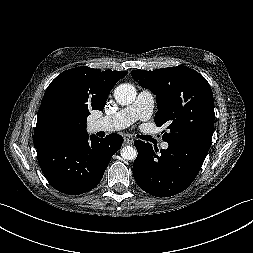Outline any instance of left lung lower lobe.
I'll return each mask as SVG.
<instances>
[{"mask_svg": "<svg viewBox=\"0 0 253 253\" xmlns=\"http://www.w3.org/2000/svg\"><path fill=\"white\" fill-rule=\"evenodd\" d=\"M138 156L133 164L136 183L157 197L176 195L193 182L210 149L211 142L192 139L169 144L157 153L150 143L136 140Z\"/></svg>", "mask_w": 253, "mask_h": 253, "instance_id": "1", "label": "left lung lower lobe"}]
</instances>
